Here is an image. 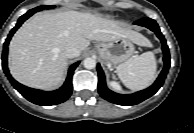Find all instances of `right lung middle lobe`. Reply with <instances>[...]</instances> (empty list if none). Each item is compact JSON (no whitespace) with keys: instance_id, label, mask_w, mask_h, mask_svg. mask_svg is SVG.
Masks as SVG:
<instances>
[{"instance_id":"obj_1","label":"right lung middle lobe","mask_w":194,"mask_h":133,"mask_svg":"<svg viewBox=\"0 0 194 133\" xmlns=\"http://www.w3.org/2000/svg\"><path fill=\"white\" fill-rule=\"evenodd\" d=\"M55 6H38L34 9H31L29 11H31L32 13H35V12H38V11H41L43 9H51V8H54Z\"/></svg>"}]
</instances>
